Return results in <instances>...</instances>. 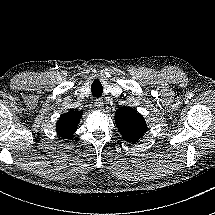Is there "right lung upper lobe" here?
<instances>
[{"mask_svg": "<svg viewBox=\"0 0 215 215\" xmlns=\"http://www.w3.org/2000/svg\"><path fill=\"white\" fill-rule=\"evenodd\" d=\"M82 114V111L75 110H71L63 114L56 124V129L59 136L65 139L71 138L77 129Z\"/></svg>", "mask_w": 215, "mask_h": 215, "instance_id": "1", "label": "right lung upper lobe"}]
</instances>
